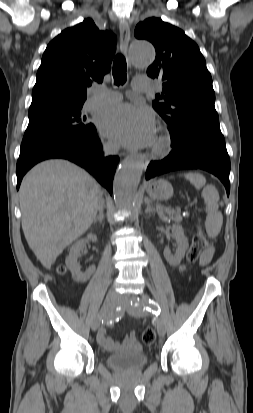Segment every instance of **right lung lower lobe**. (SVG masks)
Masks as SVG:
<instances>
[{
	"label": "right lung lower lobe",
	"mask_w": 253,
	"mask_h": 413,
	"mask_svg": "<svg viewBox=\"0 0 253 413\" xmlns=\"http://www.w3.org/2000/svg\"><path fill=\"white\" fill-rule=\"evenodd\" d=\"M51 158L67 159L85 168L112 194L113 177L119 158L103 157L95 127L84 135L51 139L21 148L16 169L17 189L31 167Z\"/></svg>",
	"instance_id": "1"
}]
</instances>
